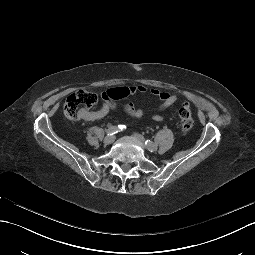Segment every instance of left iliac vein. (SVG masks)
<instances>
[{"instance_id": "left-iliac-vein-1", "label": "left iliac vein", "mask_w": 255, "mask_h": 255, "mask_svg": "<svg viewBox=\"0 0 255 255\" xmlns=\"http://www.w3.org/2000/svg\"><path fill=\"white\" fill-rule=\"evenodd\" d=\"M134 138L140 143L142 144L146 149H148L150 152H155L157 150V145H154L152 147H148L145 144V139L142 135L138 134V133H134Z\"/></svg>"}]
</instances>
